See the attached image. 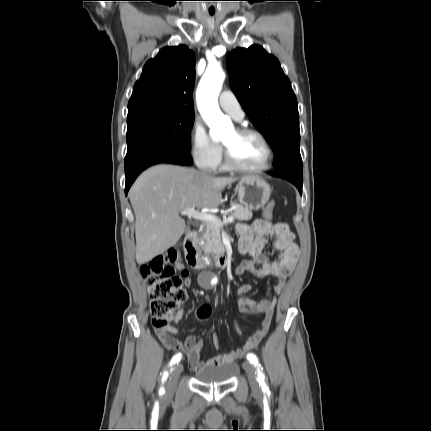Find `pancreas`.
<instances>
[{"mask_svg": "<svg viewBox=\"0 0 431 431\" xmlns=\"http://www.w3.org/2000/svg\"><path fill=\"white\" fill-rule=\"evenodd\" d=\"M231 207L234 208L233 212H230V216H234L239 221H248L252 218L253 214L252 212L236 203L232 202ZM204 232H203V239L205 240V251L206 252H215L217 250H220L223 248L222 242H221V235H220V227L212 222L204 221L203 224Z\"/></svg>", "mask_w": 431, "mask_h": 431, "instance_id": "cf45deb5", "label": "pancreas"}]
</instances>
